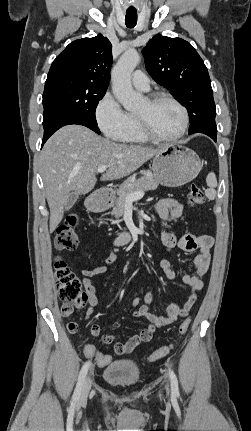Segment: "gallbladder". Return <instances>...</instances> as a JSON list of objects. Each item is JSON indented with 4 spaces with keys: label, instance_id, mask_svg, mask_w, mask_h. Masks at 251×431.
I'll use <instances>...</instances> for the list:
<instances>
[{
    "label": "gallbladder",
    "instance_id": "gallbladder-1",
    "mask_svg": "<svg viewBox=\"0 0 251 431\" xmlns=\"http://www.w3.org/2000/svg\"><path fill=\"white\" fill-rule=\"evenodd\" d=\"M77 199H78L77 194H75V193L70 194V196L67 198V200L65 202L64 209L66 211L70 210L74 206V204L76 203Z\"/></svg>",
    "mask_w": 251,
    "mask_h": 431
}]
</instances>
